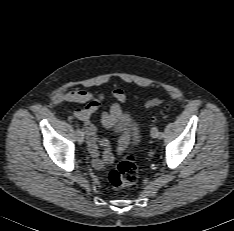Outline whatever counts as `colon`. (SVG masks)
<instances>
[{
	"mask_svg": "<svg viewBox=\"0 0 234 231\" xmlns=\"http://www.w3.org/2000/svg\"><path fill=\"white\" fill-rule=\"evenodd\" d=\"M158 104V101L153 100L149 103V106L154 107ZM137 177L136 153L130 152L116 168L109 172L108 181L112 188L123 189L133 185Z\"/></svg>",
	"mask_w": 234,
	"mask_h": 231,
	"instance_id": "obj_1",
	"label": "colon"
}]
</instances>
